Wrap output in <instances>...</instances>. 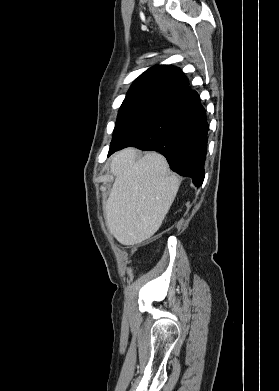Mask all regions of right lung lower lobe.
Here are the masks:
<instances>
[{
	"label": "right lung lower lobe",
	"instance_id": "right-lung-lower-lobe-1",
	"mask_svg": "<svg viewBox=\"0 0 279 391\" xmlns=\"http://www.w3.org/2000/svg\"><path fill=\"white\" fill-rule=\"evenodd\" d=\"M208 122L196 91L165 105L142 132L112 153L129 146L162 153L170 168L190 177L195 186L204 180Z\"/></svg>",
	"mask_w": 279,
	"mask_h": 391
}]
</instances>
